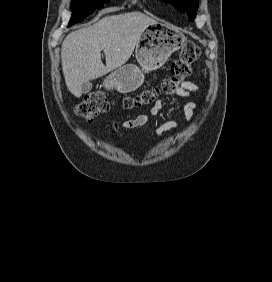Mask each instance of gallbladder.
<instances>
[{"mask_svg":"<svg viewBox=\"0 0 272 282\" xmlns=\"http://www.w3.org/2000/svg\"><path fill=\"white\" fill-rule=\"evenodd\" d=\"M92 89V84L90 82H86L81 86L82 94H87Z\"/></svg>","mask_w":272,"mask_h":282,"instance_id":"obj_1","label":"gallbladder"}]
</instances>
